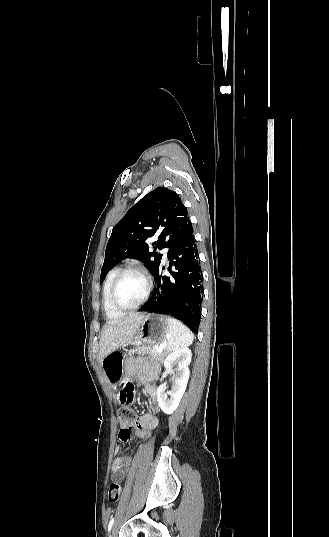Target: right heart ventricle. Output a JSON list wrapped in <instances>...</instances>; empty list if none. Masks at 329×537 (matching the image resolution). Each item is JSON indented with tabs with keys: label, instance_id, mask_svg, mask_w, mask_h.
Segmentation results:
<instances>
[{
	"label": "right heart ventricle",
	"instance_id": "1",
	"mask_svg": "<svg viewBox=\"0 0 329 537\" xmlns=\"http://www.w3.org/2000/svg\"><path fill=\"white\" fill-rule=\"evenodd\" d=\"M120 271V269L118 267H115L113 269H111L106 278H105V281L103 283V287H102V297H101V301H102V306H103V309H104V312L106 314V316L110 319H113V318H117V317H120L122 315V312L116 310L112 305H111V302H110V290H111V286H112V283L115 279V277L117 276L118 272Z\"/></svg>",
	"mask_w": 329,
	"mask_h": 537
}]
</instances>
